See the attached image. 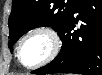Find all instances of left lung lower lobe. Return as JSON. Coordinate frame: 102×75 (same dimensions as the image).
<instances>
[{
  "label": "left lung lower lobe",
  "instance_id": "left-lung-lower-lobe-1",
  "mask_svg": "<svg viewBox=\"0 0 102 75\" xmlns=\"http://www.w3.org/2000/svg\"><path fill=\"white\" fill-rule=\"evenodd\" d=\"M58 34L62 40L60 53L33 74L102 75V1L80 0Z\"/></svg>",
  "mask_w": 102,
  "mask_h": 75
}]
</instances>
